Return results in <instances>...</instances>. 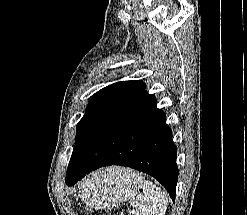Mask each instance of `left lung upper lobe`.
Segmentation results:
<instances>
[{"instance_id": "5c2ea615", "label": "left lung upper lobe", "mask_w": 247, "mask_h": 215, "mask_svg": "<svg viewBox=\"0 0 247 215\" xmlns=\"http://www.w3.org/2000/svg\"><path fill=\"white\" fill-rule=\"evenodd\" d=\"M146 85L139 80L111 84L92 95L76 128L72 156L84 140L98 139L133 104ZM71 156V158H72Z\"/></svg>"}]
</instances>
